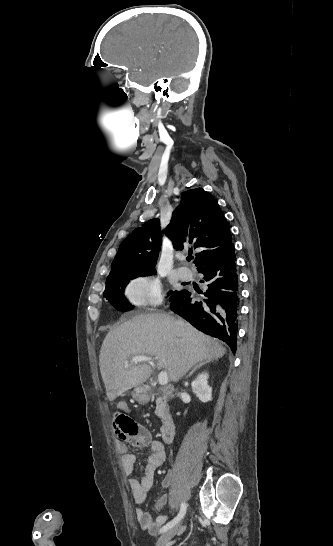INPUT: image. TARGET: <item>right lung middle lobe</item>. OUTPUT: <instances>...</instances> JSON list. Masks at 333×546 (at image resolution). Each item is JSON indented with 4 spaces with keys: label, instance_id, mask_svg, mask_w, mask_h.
<instances>
[{
    "label": "right lung middle lobe",
    "instance_id": "1",
    "mask_svg": "<svg viewBox=\"0 0 333 546\" xmlns=\"http://www.w3.org/2000/svg\"><path fill=\"white\" fill-rule=\"evenodd\" d=\"M156 270H115L111 271L106 279L104 297L119 311L131 310V306L124 298V289L130 280L155 274ZM174 291H169L172 295Z\"/></svg>",
    "mask_w": 333,
    "mask_h": 546
}]
</instances>
